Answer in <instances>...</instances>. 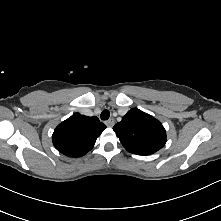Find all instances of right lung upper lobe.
I'll use <instances>...</instances> for the list:
<instances>
[{
  "label": "right lung upper lobe",
  "mask_w": 221,
  "mask_h": 221,
  "mask_svg": "<svg viewBox=\"0 0 221 221\" xmlns=\"http://www.w3.org/2000/svg\"><path fill=\"white\" fill-rule=\"evenodd\" d=\"M105 128V124L96 116L88 117L75 113L55 128L52 141L62 154L81 157L92 149Z\"/></svg>",
  "instance_id": "1"
}]
</instances>
